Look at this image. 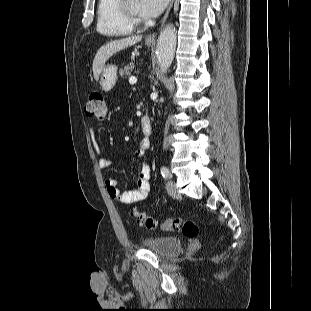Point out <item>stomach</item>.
<instances>
[{
  "instance_id": "1",
  "label": "stomach",
  "mask_w": 311,
  "mask_h": 311,
  "mask_svg": "<svg viewBox=\"0 0 311 311\" xmlns=\"http://www.w3.org/2000/svg\"><path fill=\"white\" fill-rule=\"evenodd\" d=\"M147 46H151V42H145ZM100 86L104 91H110L116 84L117 81V66L107 65L104 66L100 73Z\"/></svg>"
}]
</instances>
